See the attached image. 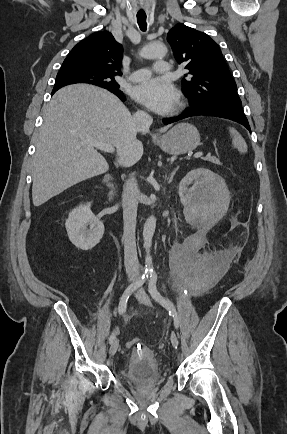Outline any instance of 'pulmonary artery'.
<instances>
[{"label": "pulmonary artery", "mask_w": 287, "mask_h": 434, "mask_svg": "<svg viewBox=\"0 0 287 434\" xmlns=\"http://www.w3.org/2000/svg\"><path fill=\"white\" fill-rule=\"evenodd\" d=\"M153 69L157 74L165 75V74H169L170 67L167 62L157 61L154 63ZM150 75H151V71L149 69L142 68L134 71L129 76V80L133 82L142 81L149 78Z\"/></svg>", "instance_id": "pulmonary-artery-1"}]
</instances>
